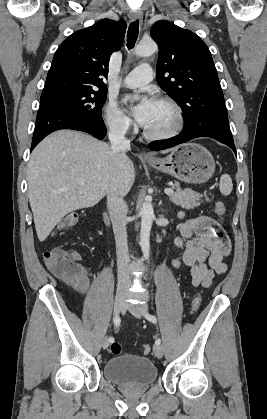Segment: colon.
Segmentation results:
<instances>
[{"mask_svg": "<svg viewBox=\"0 0 267 419\" xmlns=\"http://www.w3.org/2000/svg\"><path fill=\"white\" fill-rule=\"evenodd\" d=\"M215 214L219 218H223L226 215V207L222 202H218L215 205ZM79 221V214L76 212L65 215L58 224L59 230H67L74 227ZM50 269L61 277H76L83 273L84 268L79 263L80 256L74 250H66L61 247H53L44 253ZM201 297L196 295L191 304L192 312H196L201 306ZM110 351L114 355H118L121 352V345L118 342L112 343ZM141 353L148 354L150 352V346L143 344L140 348Z\"/></svg>", "mask_w": 267, "mask_h": 419, "instance_id": "5ec220e1", "label": "colon"}]
</instances>
